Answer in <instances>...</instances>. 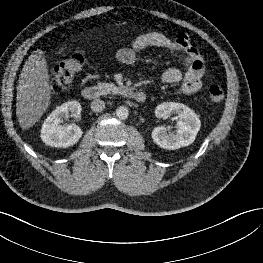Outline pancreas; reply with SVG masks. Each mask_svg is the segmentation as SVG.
Returning a JSON list of instances; mask_svg holds the SVG:
<instances>
[{
  "label": "pancreas",
  "mask_w": 263,
  "mask_h": 263,
  "mask_svg": "<svg viewBox=\"0 0 263 263\" xmlns=\"http://www.w3.org/2000/svg\"><path fill=\"white\" fill-rule=\"evenodd\" d=\"M97 89L100 95L107 94H119L122 90L121 87L114 85L113 83H101L97 84Z\"/></svg>",
  "instance_id": "1"
}]
</instances>
